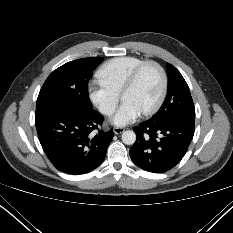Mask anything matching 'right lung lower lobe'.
<instances>
[{
  "label": "right lung lower lobe",
  "instance_id": "right-lung-lower-lobe-1",
  "mask_svg": "<svg viewBox=\"0 0 233 233\" xmlns=\"http://www.w3.org/2000/svg\"><path fill=\"white\" fill-rule=\"evenodd\" d=\"M95 110H52L35 116L38 138L51 163L68 174H84L104 160L113 130L98 131Z\"/></svg>",
  "mask_w": 233,
  "mask_h": 233
}]
</instances>
